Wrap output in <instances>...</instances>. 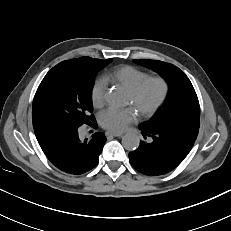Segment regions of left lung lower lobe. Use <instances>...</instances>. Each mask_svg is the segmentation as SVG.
Instances as JSON below:
<instances>
[{
    "instance_id": "1",
    "label": "left lung lower lobe",
    "mask_w": 231,
    "mask_h": 231,
    "mask_svg": "<svg viewBox=\"0 0 231 231\" xmlns=\"http://www.w3.org/2000/svg\"><path fill=\"white\" fill-rule=\"evenodd\" d=\"M139 128L150 141H140L139 148L129 153V160L137 171L149 176L163 175L176 168L197 138V135L173 130Z\"/></svg>"
}]
</instances>
